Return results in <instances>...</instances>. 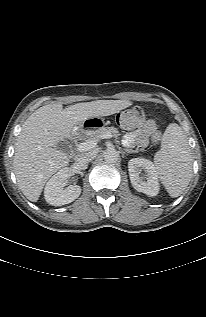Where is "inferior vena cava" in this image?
I'll return each instance as SVG.
<instances>
[{"label":"inferior vena cava","instance_id":"obj_1","mask_svg":"<svg viewBox=\"0 0 206 317\" xmlns=\"http://www.w3.org/2000/svg\"><path fill=\"white\" fill-rule=\"evenodd\" d=\"M96 157L94 151L82 152L76 156L75 161L79 164H87Z\"/></svg>","mask_w":206,"mask_h":317}]
</instances>
